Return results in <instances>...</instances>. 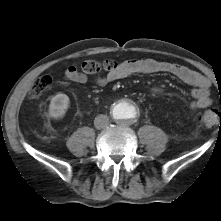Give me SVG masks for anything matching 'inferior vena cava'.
<instances>
[{"instance_id":"1","label":"inferior vena cava","mask_w":221,"mask_h":221,"mask_svg":"<svg viewBox=\"0 0 221 221\" xmlns=\"http://www.w3.org/2000/svg\"><path fill=\"white\" fill-rule=\"evenodd\" d=\"M109 125V117L107 115H98L95 117L94 126L97 129L106 128Z\"/></svg>"}]
</instances>
